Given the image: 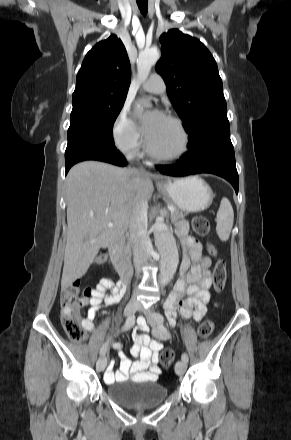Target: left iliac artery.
Segmentation results:
<instances>
[{"mask_svg":"<svg viewBox=\"0 0 291 440\" xmlns=\"http://www.w3.org/2000/svg\"><path fill=\"white\" fill-rule=\"evenodd\" d=\"M161 332H162V334L164 335L165 338H170L171 337L170 333L164 327H161ZM181 359L184 362L187 363L188 362V355H187V353H183L182 356H181Z\"/></svg>","mask_w":291,"mask_h":440,"instance_id":"44dca946","label":"left iliac artery"}]
</instances>
